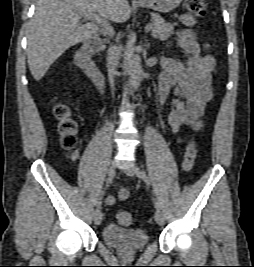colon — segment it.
Wrapping results in <instances>:
<instances>
[{
	"label": "colon",
	"mask_w": 254,
	"mask_h": 267,
	"mask_svg": "<svg viewBox=\"0 0 254 267\" xmlns=\"http://www.w3.org/2000/svg\"><path fill=\"white\" fill-rule=\"evenodd\" d=\"M185 7L188 13L195 17H203L207 10L205 0H186ZM53 115L57 120V128L64 149L75 153L77 146L78 124L73 118L70 107L63 102H57L53 106ZM198 148L194 140H190L184 152L183 169L190 171L195 163ZM119 223L123 226H130L133 223L132 215L128 212H121L118 215Z\"/></svg>",
	"instance_id": "1"
}]
</instances>
